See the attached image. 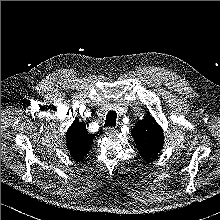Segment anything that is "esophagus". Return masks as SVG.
Segmentation results:
<instances>
[{"instance_id": "1", "label": "esophagus", "mask_w": 220, "mask_h": 220, "mask_svg": "<svg viewBox=\"0 0 220 220\" xmlns=\"http://www.w3.org/2000/svg\"><path fill=\"white\" fill-rule=\"evenodd\" d=\"M105 131H106L107 133H116V132H117V129H116L115 127L111 126V127L105 128Z\"/></svg>"}]
</instances>
